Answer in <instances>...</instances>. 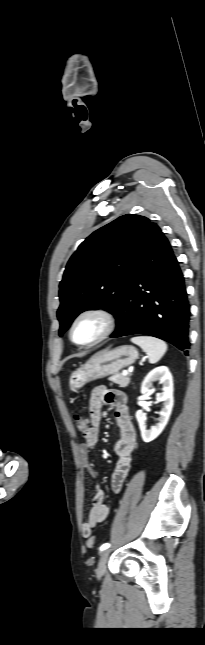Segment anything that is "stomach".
<instances>
[{
	"mask_svg": "<svg viewBox=\"0 0 205 645\" xmlns=\"http://www.w3.org/2000/svg\"><path fill=\"white\" fill-rule=\"evenodd\" d=\"M137 357V350L130 345L102 350L92 356L84 366L71 372L69 389L77 392L90 381L117 374L121 369L133 364Z\"/></svg>",
	"mask_w": 205,
	"mask_h": 645,
	"instance_id": "stomach-1",
	"label": "stomach"
}]
</instances>
